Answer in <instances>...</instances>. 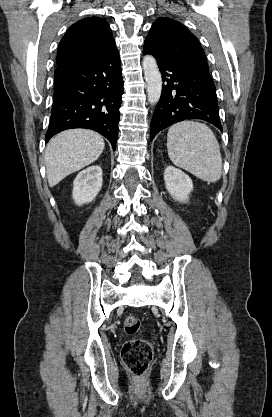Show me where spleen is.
Returning <instances> with one entry per match:
<instances>
[{
    "instance_id": "obj_1",
    "label": "spleen",
    "mask_w": 272,
    "mask_h": 417,
    "mask_svg": "<svg viewBox=\"0 0 272 417\" xmlns=\"http://www.w3.org/2000/svg\"><path fill=\"white\" fill-rule=\"evenodd\" d=\"M168 155L178 167L206 182H216L222 175L219 143L212 130L195 121H182L167 134Z\"/></svg>"
}]
</instances>
